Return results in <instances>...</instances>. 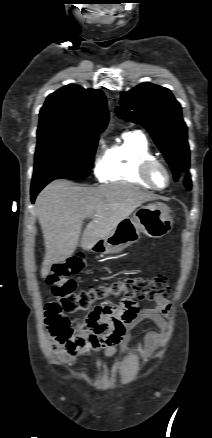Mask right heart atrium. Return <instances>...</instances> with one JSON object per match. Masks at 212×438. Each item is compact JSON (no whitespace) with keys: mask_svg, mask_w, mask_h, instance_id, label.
Masks as SVG:
<instances>
[{"mask_svg":"<svg viewBox=\"0 0 212 438\" xmlns=\"http://www.w3.org/2000/svg\"><path fill=\"white\" fill-rule=\"evenodd\" d=\"M102 148L103 141H100L94 164V174L100 180L104 178L105 173V153L102 151Z\"/></svg>","mask_w":212,"mask_h":438,"instance_id":"d8ad5b80","label":"right heart atrium"}]
</instances>
